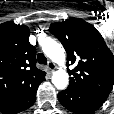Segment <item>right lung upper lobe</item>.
Here are the masks:
<instances>
[{
	"label": "right lung upper lobe",
	"mask_w": 114,
	"mask_h": 114,
	"mask_svg": "<svg viewBox=\"0 0 114 114\" xmlns=\"http://www.w3.org/2000/svg\"><path fill=\"white\" fill-rule=\"evenodd\" d=\"M25 25H0V102L45 80L36 68V48L29 43Z\"/></svg>",
	"instance_id": "right-lung-upper-lobe-1"
}]
</instances>
